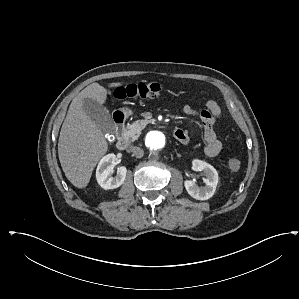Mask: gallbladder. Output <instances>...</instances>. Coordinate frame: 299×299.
<instances>
[{"mask_svg":"<svg viewBox=\"0 0 299 299\" xmlns=\"http://www.w3.org/2000/svg\"><path fill=\"white\" fill-rule=\"evenodd\" d=\"M83 108L104 133L114 131V122L105 106L96 100L86 98L83 100Z\"/></svg>","mask_w":299,"mask_h":299,"instance_id":"bac80fb5","label":"gallbladder"}]
</instances>
